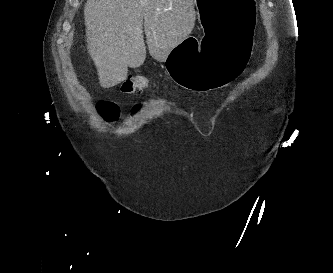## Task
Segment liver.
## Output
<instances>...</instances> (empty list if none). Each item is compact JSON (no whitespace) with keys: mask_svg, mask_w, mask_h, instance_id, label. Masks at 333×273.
<instances>
[{"mask_svg":"<svg viewBox=\"0 0 333 273\" xmlns=\"http://www.w3.org/2000/svg\"><path fill=\"white\" fill-rule=\"evenodd\" d=\"M195 0H87L84 7L88 52L103 88L127 77L128 67L150 55L165 62L170 51L192 32Z\"/></svg>","mask_w":333,"mask_h":273,"instance_id":"6515ba94","label":"liver"}]
</instances>
